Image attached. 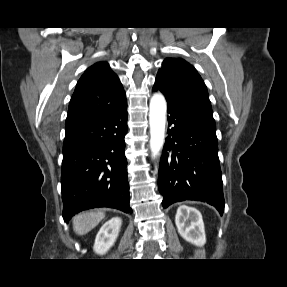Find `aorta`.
I'll return each mask as SVG.
<instances>
[{"label":"aorta","mask_w":287,"mask_h":287,"mask_svg":"<svg viewBox=\"0 0 287 287\" xmlns=\"http://www.w3.org/2000/svg\"><path fill=\"white\" fill-rule=\"evenodd\" d=\"M166 100L161 93H155L149 105L150 149L156 157L164 144L166 124Z\"/></svg>","instance_id":"762f6f07"}]
</instances>
